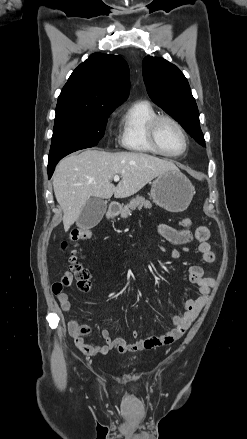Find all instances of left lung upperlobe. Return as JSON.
I'll return each instance as SVG.
<instances>
[{
  "label": "left lung upper lobe",
  "instance_id": "5c2ea615",
  "mask_svg": "<svg viewBox=\"0 0 247 439\" xmlns=\"http://www.w3.org/2000/svg\"><path fill=\"white\" fill-rule=\"evenodd\" d=\"M142 71L153 102L178 121L200 145L205 146L195 99L178 67L163 58L147 56L143 60Z\"/></svg>",
  "mask_w": 247,
  "mask_h": 439
}]
</instances>
